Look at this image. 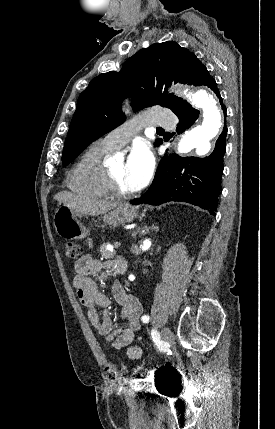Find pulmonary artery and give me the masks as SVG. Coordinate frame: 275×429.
Returning a JSON list of instances; mask_svg holds the SVG:
<instances>
[{"label":"pulmonary artery","instance_id":"pulmonary-artery-1","mask_svg":"<svg viewBox=\"0 0 275 429\" xmlns=\"http://www.w3.org/2000/svg\"><path fill=\"white\" fill-rule=\"evenodd\" d=\"M144 121L156 126L171 127L175 124L176 118L164 111H150L137 116L128 125L110 132L100 142L108 149L117 150L136 134Z\"/></svg>","mask_w":275,"mask_h":429}]
</instances>
